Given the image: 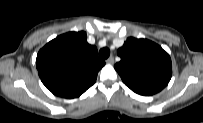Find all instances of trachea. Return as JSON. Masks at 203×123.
I'll use <instances>...</instances> for the list:
<instances>
[{"label":"trachea","instance_id":"3493384b","mask_svg":"<svg viewBox=\"0 0 203 123\" xmlns=\"http://www.w3.org/2000/svg\"><path fill=\"white\" fill-rule=\"evenodd\" d=\"M110 55V50L108 48H102L99 51V56L101 59H107Z\"/></svg>","mask_w":203,"mask_h":123}]
</instances>
